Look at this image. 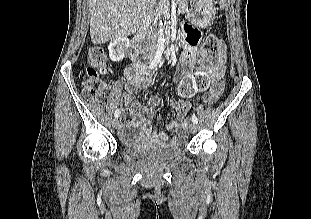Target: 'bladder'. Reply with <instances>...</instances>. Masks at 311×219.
<instances>
[{"mask_svg": "<svg viewBox=\"0 0 311 219\" xmlns=\"http://www.w3.org/2000/svg\"><path fill=\"white\" fill-rule=\"evenodd\" d=\"M124 148L130 154L146 157L152 161H160L177 157L182 152L183 145H143L140 142L132 141L125 143Z\"/></svg>", "mask_w": 311, "mask_h": 219, "instance_id": "bladder-1", "label": "bladder"}]
</instances>
